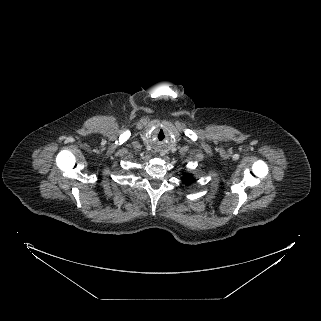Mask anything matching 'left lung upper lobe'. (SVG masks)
<instances>
[{
  "instance_id": "left-lung-upper-lobe-1",
  "label": "left lung upper lobe",
  "mask_w": 321,
  "mask_h": 321,
  "mask_svg": "<svg viewBox=\"0 0 321 321\" xmlns=\"http://www.w3.org/2000/svg\"><path fill=\"white\" fill-rule=\"evenodd\" d=\"M182 180H183L184 183L190 184L193 181V178L189 174H184Z\"/></svg>"
}]
</instances>
